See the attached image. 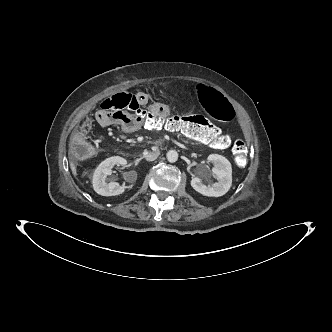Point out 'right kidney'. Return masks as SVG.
<instances>
[{
	"label": "right kidney",
	"instance_id": "obj_1",
	"mask_svg": "<svg viewBox=\"0 0 332 332\" xmlns=\"http://www.w3.org/2000/svg\"><path fill=\"white\" fill-rule=\"evenodd\" d=\"M127 161L120 156H112L102 161L93 174V188L96 193L102 196H115L122 194L125 187L120 186L117 182H106V178L111 174V169L115 165L126 166Z\"/></svg>",
	"mask_w": 332,
	"mask_h": 332
}]
</instances>
